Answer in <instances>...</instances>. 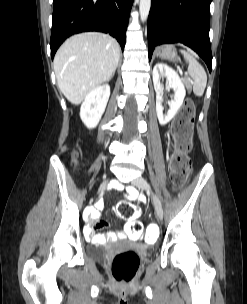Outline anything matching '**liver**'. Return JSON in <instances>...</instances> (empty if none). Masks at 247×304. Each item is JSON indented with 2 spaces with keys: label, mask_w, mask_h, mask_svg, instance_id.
<instances>
[{
  "label": "liver",
  "mask_w": 247,
  "mask_h": 304,
  "mask_svg": "<svg viewBox=\"0 0 247 304\" xmlns=\"http://www.w3.org/2000/svg\"><path fill=\"white\" fill-rule=\"evenodd\" d=\"M120 46L108 34L86 32L68 38L54 57L57 85L74 105L113 76Z\"/></svg>",
  "instance_id": "liver-1"
}]
</instances>
